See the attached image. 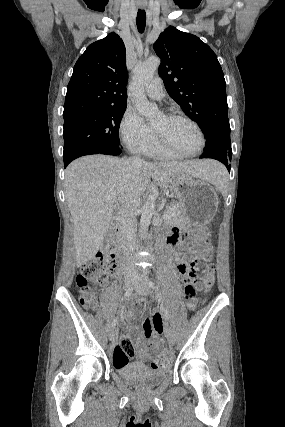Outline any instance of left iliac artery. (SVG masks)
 <instances>
[{
	"label": "left iliac artery",
	"mask_w": 285,
	"mask_h": 427,
	"mask_svg": "<svg viewBox=\"0 0 285 427\" xmlns=\"http://www.w3.org/2000/svg\"><path fill=\"white\" fill-rule=\"evenodd\" d=\"M147 284H148V286H149L150 288H152L153 290H155V291L157 290V287L154 285V283H153L152 281L147 280ZM163 311H164V316H165V318H166L167 320H169V314H168L167 309L163 308Z\"/></svg>",
	"instance_id": "1"
}]
</instances>
